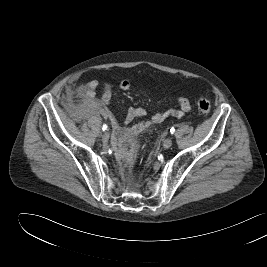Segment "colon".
I'll return each mask as SVG.
<instances>
[{"label": "colon", "mask_w": 267, "mask_h": 267, "mask_svg": "<svg viewBox=\"0 0 267 267\" xmlns=\"http://www.w3.org/2000/svg\"><path fill=\"white\" fill-rule=\"evenodd\" d=\"M197 108L200 113L208 114L211 110L210 101L205 97H199L197 100Z\"/></svg>", "instance_id": "colon-1"}]
</instances>
